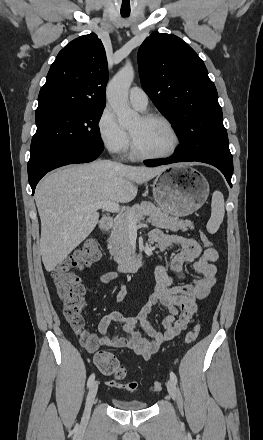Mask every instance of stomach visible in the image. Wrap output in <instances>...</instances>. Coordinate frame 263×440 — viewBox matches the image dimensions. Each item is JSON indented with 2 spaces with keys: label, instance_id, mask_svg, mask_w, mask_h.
Wrapping results in <instances>:
<instances>
[{
  "label": "stomach",
  "instance_id": "stomach-1",
  "mask_svg": "<svg viewBox=\"0 0 263 440\" xmlns=\"http://www.w3.org/2000/svg\"><path fill=\"white\" fill-rule=\"evenodd\" d=\"M209 184L196 169L173 166L153 182V197L166 213L185 217L197 211L207 200Z\"/></svg>",
  "mask_w": 263,
  "mask_h": 440
}]
</instances>
